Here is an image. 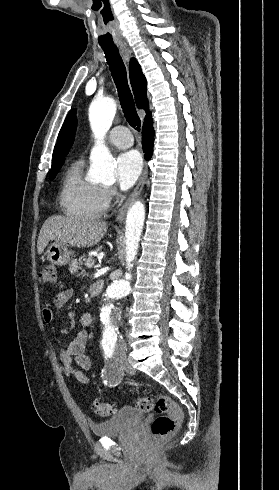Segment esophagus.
<instances>
[{
	"label": "esophagus",
	"instance_id": "34e87169",
	"mask_svg": "<svg viewBox=\"0 0 279 490\" xmlns=\"http://www.w3.org/2000/svg\"><path fill=\"white\" fill-rule=\"evenodd\" d=\"M119 49H120L121 55L124 58V61L128 64L130 61V58L132 56V50H130V48L127 44L120 45ZM147 175H148V167L145 164V167H144V170L142 172L141 178L138 182V185L136 186V188L134 189L132 194L125 201V203L123 204V206L121 207V209L118 212V215L116 217L117 223L122 222L128 207L131 206L135 202V200L138 198V196L142 192V189L146 183Z\"/></svg>",
	"mask_w": 279,
	"mask_h": 490
}]
</instances>
